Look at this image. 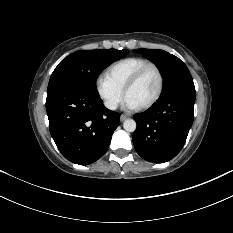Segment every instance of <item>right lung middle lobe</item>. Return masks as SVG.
<instances>
[{
	"instance_id": "obj_1",
	"label": "right lung middle lobe",
	"mask_w": 233,
	"mask_h": 233,
	"mask_svg": "<svg viewBox=\"0 0 233 233\" xmlns=\"http://www.w3.org/2000/svg\"><path fill=\"white\" fill-rule=\"evenodd\" d=\"M128 50L98 49L74 52L63 59L53 71L48 89L58 86L75 87L98 94L96 79L112 62L128 54Z\"/></svg>"
}]
</instances>
